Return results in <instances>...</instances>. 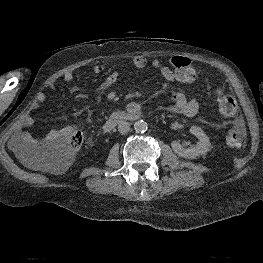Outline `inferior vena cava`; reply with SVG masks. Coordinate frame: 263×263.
<instances>
[{
  "instance_id": "obj_1",
  "label": "inferior vena cava",
  "mask_w": 263,
  "mask_h": 263,
  "mask_svg": "<svg viewBox=\"0 0 263 263\" xmlns=\"http://www.w3.org/2000/svg\"><path fill=\"white\" fill-rule=\"evenodd\" d=\"M130 130V124L128 122H120L118 124V131L121 133V134H126L128 133Z\"/></svg>"
}]
</instances>
